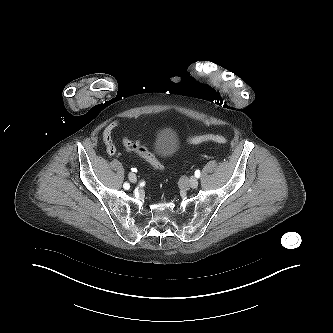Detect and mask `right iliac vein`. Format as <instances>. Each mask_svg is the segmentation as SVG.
<instances>
[{"instance_id": "1", "label": "right iliac vein", "mask_w": 333, "mask_h": 333, "mask_svg": "<svg viewBox=\"0 0 333 333\" xmlns=\"http://www.w3.org/2000/svg\"><path fill=\"white\" fill-rule=\"evenodd\" d=\"M129 180L133 183L137 182V176L134 173H129Z\"/></svg>"}]
</instances>
